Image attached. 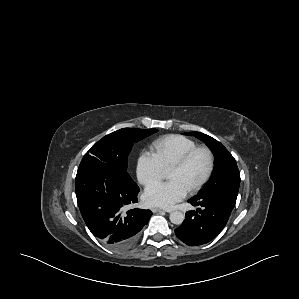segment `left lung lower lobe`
<instances>
[{
    "instance_id": "1",
    "label": "left lung lower lobe",
    "mask_w": 299,
    "mask_h": 299,
    "mask_svg": "<svg viewBox=\"0 0 299 299\" xmlns=\"http://www.w3.org/2000/svg\"><path fill=\"white\" fill-rule=\"evenodd\" d=\"M197 211H188L176 236L190 246L203 245L215 238L226 225L236 202L220 194L194 197L189 200Z\"/></svg>"
}]
</instances>
